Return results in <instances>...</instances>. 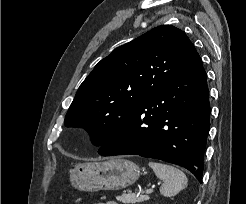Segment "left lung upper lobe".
Listing matches in <instances>:
<instances>
[{
	"label": "left lung upper lobe",
	"instance_id": "obj_1",
	"mask_svg": "<svg viewBox=\"0 0 246 204\" xmlns=\"http://www.w3.org/2000/svg\"><path fill=\"white\" fill-rule=\"evenodd\" d=\"M196 53L186 34L158 26L115 49L80 85L64 123L101 146L117 126Z\"/></svg>",
	"mask_w": 246,
	"mask_h": 204
}]
</instances>
